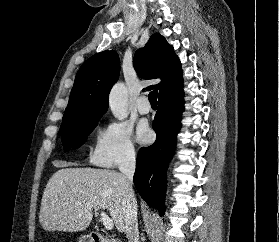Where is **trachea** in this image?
Returning a JSON list of instances; mask_svg holds the SVG:
<instances>
[{
    "label": "trachea",
    "instance_id": "obj_1",
    "mask_svg": "<svg viewBox=\"0 0 279 242\" xmlns=\"http://www.w3.org/2000/svg\"><path fill=\"white\" fill-rule=\"evenodd\" d=\"M157 95H158V91L156 90L151 91L149 93L148 98L151 105H157Z\"/></svg>",
    "mask_w": 279,
    "mask_h": 242
}]
</instances>
